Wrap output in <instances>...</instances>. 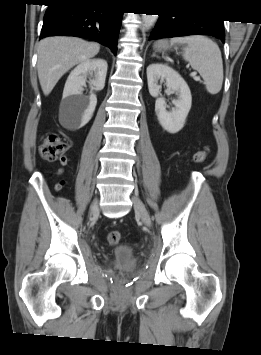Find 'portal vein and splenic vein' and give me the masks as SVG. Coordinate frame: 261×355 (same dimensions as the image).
I'll use <instances>...</instances> for the list:
<instances>
[{
    "label": "portal vein and splenic vein",
    "mask_w": 261,
    "mask_h": 355,
    "mask_svg": "<svg viewBox=\"0 0 261 355\" xmlns=\"http://www.w3.org/2000/svg\"><path fill=\"white\" fill-rule=\"evenodd\" d=\"M190 76L191 77H193L194 79H196L197 81H200V77L199 76H197V72H192L191 74H190Z\"/></svg>",
    "instance_id": "portal-vein-and-splenic-vein-1"
}]
</instances>
